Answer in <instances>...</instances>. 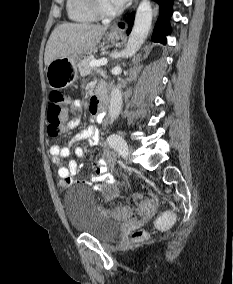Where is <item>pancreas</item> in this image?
<instances>
[{
	"instance_id": "obj_1",
	"label": "pancreas",
	"mask_w": 233,
	"mask_h": 284,
	"mask_svg": "<svg viewBox=\"0 0 233 284\" xmlns=\"http://www.w3.org/2000/svg\"><path fill=\"white\" fill-rule=\"evenodd\" d=\"M93 59H95L94 55L89 54L85 56L82 60H80V62L78 63V69L81 76H86L90 74L93 70H95L94 67H91L89 65L90 61Z\"/></svg>"
}]
</instances>
